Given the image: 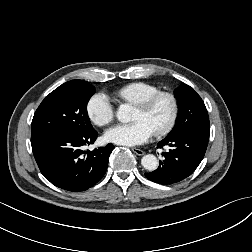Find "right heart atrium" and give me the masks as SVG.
<instances>
[{
    "label": "right heart atrium",
    "mask_w": 252,
    "mask_h": 252,
    "mask_svg": "<svg viewBox=\"0 0 252 252\" xmlns=\"http://www.w3.org/2000/svg\"><path fill=\"white\" fill-rule=\"evenodd\" d=\"M86 113L93 124L103 127L114 119L115 108L105 93L98 92L87 101Z\"/></svg>",
    "instance_id": "obj_1"
}]
</instances>
